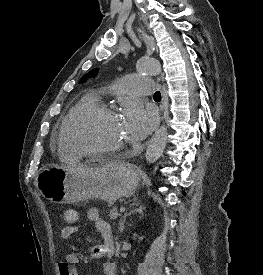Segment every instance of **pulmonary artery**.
I'll list each match as a JSON object with an SVG mask.
<instances>
[{"label":"pulmonary artery","instance_id":"pulmonary-artery-1","mask_svg":"<svg viewBox=\"0 0 263 275\" xmlns=\"http://www.w3.org/2000/svg\"><path fill=\"white\" fill-rule=\"evenodd\" d=\"M153 86L150 78L128 75L116 84L115 89L121 94L145 96L152 93Z\"/></svg>","mask_w":263,"mask_h":275}]
</instances>
